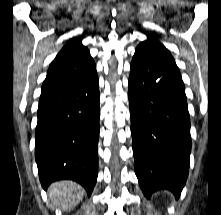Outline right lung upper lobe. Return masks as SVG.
<instances>
[{
    "instance_id": "obj_1",
    "label": "right lung upper lobe",
    "mask_w": 221,
    "mask_h": 215,
    "mask_svg": "<svg viewBox=\"0 0 221 215\" xmlns=\"http://www.w3.org/2000/svg\"><path fill=\"white\" fill-rule=\"evenodd\" d=\"M96 70L87 47L80 38H72L52 61L41 95L69 85Z\"/></svg>"
}]
</instances>
